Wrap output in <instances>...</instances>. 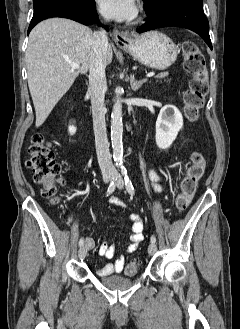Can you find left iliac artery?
I'll list each match as a JSON object with an SVG mask.
<instances>
[{
    "mask_svg": "<svg viewBox=\"0 0 240 329\" xmlns=\"http://www.w3.org/2000/svg\"><path fill=\"white\" fill-rule=\"evenodd\" d=\"M121 173L124 176V181H125V185H126V189H127L128 193L133 196L134 195V187H133L132 182L129 178L127 169L124 166H121ZM151 242L152 243L156 242V237L155 236L151 237Z\"/></svg>",
    "mask_w": 240,
    "mask_h": 329,
    "instance_id": "left-iliac-artery-1",
    "label": "left iliac artery"
}]
</instances>
